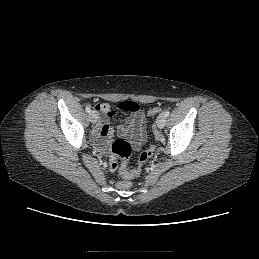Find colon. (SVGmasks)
<instances>
[{"instance_id":"obj_1","label":"colon","mask_w":259,"mask_h":259,"mask_svg":"<svg viewBox=\"0 0 259 259\" xmlns=\"http://www.w3.org/2000/svg\"><path fill=\"white\" fill-rule=\"evenodd\" d=\"M118 109L126 112H135L139 109V106L134 102L125 101L118 104ZM159 112L160 109L154 107L148 111V114L149 116H155ZM154 150V146H148L139 156L138 168L133 171H129L127 169V163L131 154V147L125 140L117 139L116 141H114V143L112 144L110 168L112 170H116L118 168V158L121 160L120 174L123 179L117 183V187L119 189H128L131 187L130 179L140 175L142 166L146 164L148 160L153 156Z\"/></svg>"}]
</instances>
